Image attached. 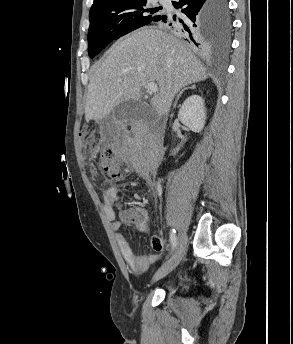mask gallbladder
I'll return each mask as SVG.
<instances>
[{"instance_id":"bac80fb5","label":"gallbladder","mask_w":293,"mask_h":344,"mask_svg":"<svg viewBox=\"0 0 293 344\" xmlns=\"http://www.w3.org/2000/svg\"><path fill=\"white\" fill-rule=\"evenodd\" d=\"M144 104L140 100H129L118 104L113 112L114 121H123L128 118L138 119L141 116V109Z\"/></svg>"}]
</instances>
